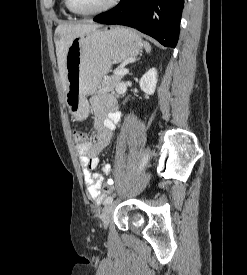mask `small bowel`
Returning <instances> with one entry per match:
<instances>
[{
    "label": "small bowel",
    "mask_w": 247,
    "mask_h": 275,
    "mask_svg": "<svg viewBox=\"0 0 247 275\" xmlns=\"http://www.w3.org/2000/svg\"><path fill=\"white\" fill-rule=\"evenodd\" d=\"M116 105V100L108 95H98L91 99L97 137L94 142H85L77 146L88 194L96 202H101L105 194L101 191L103 176L93 170L99 165L98 155L110 143L116 125L121 122L122 117L116 110ZM110 170L111 165L106 164L102 171L107 174Z\"/></svg>",
    "instance_id": "1"
}]
</instances>
